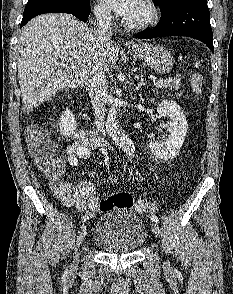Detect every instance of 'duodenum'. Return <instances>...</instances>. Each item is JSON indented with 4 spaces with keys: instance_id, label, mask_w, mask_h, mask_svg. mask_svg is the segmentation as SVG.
<instances>
[{
    "instance_id": "410a0bca",
    "label": "duodenum",
    "mask_w": 233,
    "mask_h": 294,
    "mask_svg": "<svg viewBox=\"0 0 233 294\" xmlns=\"http://www.w3.org/2000/svg\"><path fill=\"white\" fill-rule=\"evenodd\" d=\"M77 136L83 143L90 147H99L107 142L104 136L83 128L77 131Z\"/></svg>"
}]
</instances>
